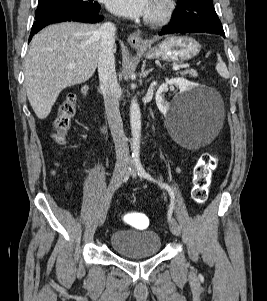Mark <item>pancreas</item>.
Returning <instances> with one entry per match:
<instances>
[{"mask_svg":"<svg viewBox=\"0 0 267 301\" xmlns=\"http://www.w3.org/2000/svg\"><path fill=\"white\" fill-rule=\"evenodd\" d=\"M182 75H189L191 77H198V73L194 69L186 70Z\"/></svg>","mask_w":267,"mask_h":301,"instance_id":"cf45deb5","label":"pancreas"}]
</instances>
